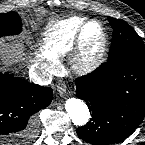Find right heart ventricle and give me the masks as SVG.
Listing matches in <instances>:
<instances>
[{
	"label": "right heart ventricle",
	"instance_id": "e07e8e85",
	"mask_svg": "<svg viewBox=\"0 0 145 145\" xmlns=\"http://www.w3.org/2000/svg\"><path fill=\"white\" fill-rule=\"evenodd\" d=\"M86 20L82 16H71L50 23L40 48L43 57L58 62L68 56L73 49L77 31Z\"/></svg>",
	"mask_w": 145,
	"mask_h": 145
}]
</instances>
